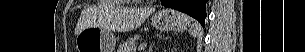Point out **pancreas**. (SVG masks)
<instances>
[{
  "label": "pancreas",
  "mask_w": 305,
  "mask_h": 52,
  "mask_svg": "<svg viewBox=\"0 0 305 52\" xmlns=\"http://www.w3.org/2000/svg\"><path fill=\"white\" fill-rule=\"evenodd\" d=\"M136 51V40L129 39L128 41L121 44L118 48V52H135Z\"/></svg>",
  "instance_id": "cf45deb5"
}]
</instances>
